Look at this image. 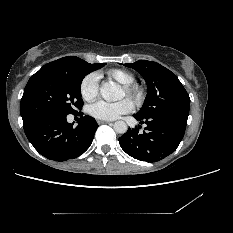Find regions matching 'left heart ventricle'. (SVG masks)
Returning a JSON list of instances; mask_svg holds the SVG:
<instances>
[{"mask_svg": "<svg viewBox=\"0 0 233 233\" xmlns=\"http://www.w3.org/2000/svg\"><path fill=\"white\" fill-rule=\"evenodd\" d=\"M121 96H122V97H124V96H125V91H124V90H122V94H121Z\"/></svg>", "mask_w": 233, "mask_h": 233, "instance_id": "1", "label": "left heart ventricle"}]
</instances>
